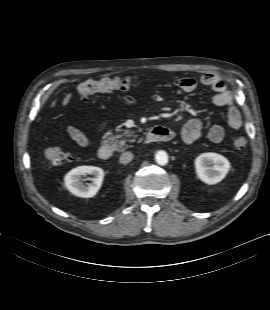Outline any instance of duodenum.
<instances>
[{
	"instance_id": "410a0bca",
	"label": "duodenum",
	"mask_w": 270,
	"mask_h": 310,
	"mask_svg": "<svg viewBox=\"0 0 270 310\" xmlns=\"http://www.w3.org/2000/svg\"><path fill=\"white\" fill-rule=\"evenodd\" d=\"M174 137V132L163 126H155L149 129L147 134L148 142L168 141ZM98 158L108 160L112 156V149L109 145L103 144L98 148Z\"/></svg>"
}]
</instances>
